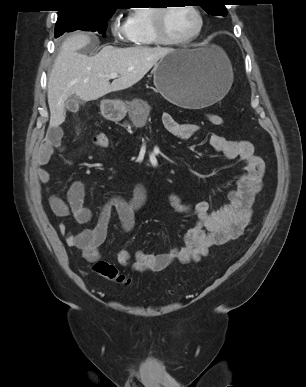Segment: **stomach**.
Instances as JSON below:
<instances>
[{"label": "stomach", "mask_w": 306, "mask_h": 387, "mask_svg": "<svg viewBox=\"0 0 306 387\" xmlns=\"http://www.w3.org/2000/svg\"><path fill=\"white\" fill-rule=\"evenodd\" d=\"M153 73L158 92L171 103L188 109L219 101L233 82L225 52L214 45L173 50L156 63ZM100 110L104 118L116 122L124 118L128 108L123 101L104 99Z\"/></svg>", "instance_id": "obj_1"}]
</instances>
